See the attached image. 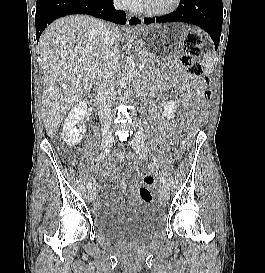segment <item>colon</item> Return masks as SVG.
Masks as SVG:
<instances>
[{"label": "colon", "mask_w": 265, "mask_h": 273, "mask_svg": "<svg viewBox=\"0 0 265 273\" xmlns=\"http://www.w3.org/2000/svg\"><path fill=\"white\" fill-rule=\"evenodd\" d=\"M201 36L196 32H190L185 36L184 45L181 50V63L193 75L202 78L205 85L210 83V78L204 74L202 65L198 61L201 53ZM204 96L208 98L210 93L206 91ZM131 175H136L135 169H129ZM140 197L145 202L153 201L154 195L152 189L148 185H143L139 190Z\"/></svg>", "instance_id": "5ec220e1"}]
</instances>
